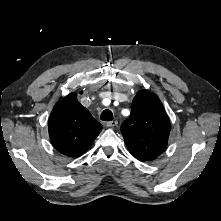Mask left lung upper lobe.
<instances>
[{
  "instance_id": "1",
  "label": "left lung upper lobe",
  "mask_w": 221,
  "mask_h": 221,
  "mask_svg": "<svg viewBox=\"0 0 221 221\" xmlns=\"http://www.w3.org/2000/svg\"><path fill=\"white\" fill-rule=\"evenodd\" d=\"M169 132V119L160 99L147 90L138 91L131 114L121 125L129 152L140 161H151L166 148Z\"/></svg>"
}]
</instances>
